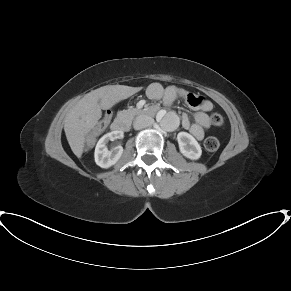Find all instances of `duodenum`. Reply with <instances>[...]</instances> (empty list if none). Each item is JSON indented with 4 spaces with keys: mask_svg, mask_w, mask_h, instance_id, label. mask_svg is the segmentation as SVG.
Here are the masks:
<instances>
[{
    "mask_svg": "<svg viewBox=\"0 0 291 291\" xmlns=\"http://www.w3.org/2000/svg\"><path fill=\"white\" fill-rule=\"evenodd\" d=\"M158 111V108L156 106H147L142 110V113L147 116H155ZM128 126L126 118H118L112 123V130L115 133H121L126 131Z\"/></svg>",
    "mask_w": 291,
    "mask_h": 291,
    "instance_id": "obj_1",
    "label": "duodenum"
}]
</instances>
